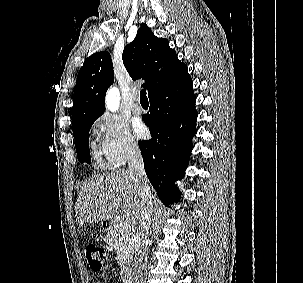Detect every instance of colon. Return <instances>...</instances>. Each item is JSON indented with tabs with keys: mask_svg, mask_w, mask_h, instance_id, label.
Segmentation results:
<instances>
[{
	"mask_svg": "<svg viewBox=\"0 0 303 283\" xmlns=\"http://www.w3.org/2000/svg\"><path fill=\"white\" fill-rule=\"evenodd\" d=\"M83 254L90 270L97 273L104 269L110 250L102 244L92 242L84 246Z\"/></svg>",
	"mask_w": 303,
	"mask_h": 283,
	"instance_id": "colon-1",
	"label": "colon"
}]
</instances>
